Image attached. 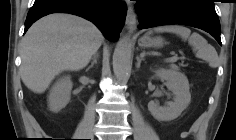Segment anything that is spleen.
<instances>
[{"instance_id": "obj_1", "label": "spleen", "mask_w": 236, "mask_h": 140, "mask_svg": "<svg viewBox=\"0 0 236 140\" xmlns=\"http://www.w3.org/2000/svg\"><path fill=\"white\" fill-rule=\"evenodd\" d=\"M153 31L155 32H169L175 33L176 35L180 36L183 40H187L188 43L192 46L193 51L196 54V57L201 58L207 61L210 67H217L218 66V55L214 47H212L206 39H204L198 33H192L191 30L178 25H171V26H161L155 28ZM153 31H149L147 34H151Z\"/></svg>"}]
</instances>
